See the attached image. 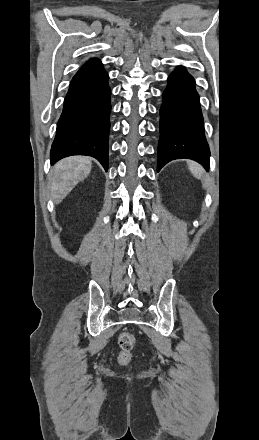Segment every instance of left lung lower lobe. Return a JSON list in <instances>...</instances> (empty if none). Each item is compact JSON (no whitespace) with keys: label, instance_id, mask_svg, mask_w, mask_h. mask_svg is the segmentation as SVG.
Instances as JSON below:
<instances>
[{"label":"left lung lower lobe","instance_id":"0a47b994","mask_svg":"<svg viewBox=\"0 0 259 440\" xmlns=\"http://www.w3.org/2000/svg\"><path fill=\"white\" fill-rule=\"evenodd\" d=\"M162 96L157 171L179 158L195 160L208 170L210 150L194 79L179 67L169 76Z\"/></svg>","mask_w":259,"mask_h":440}]
</instances>
